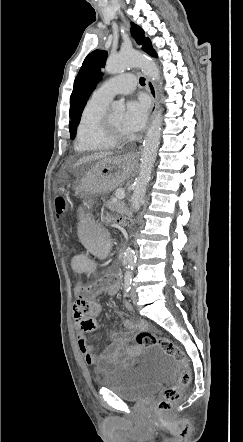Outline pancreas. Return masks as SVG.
<instances>
[{
    "mask_svg": "<svg viewBox=\"0 0 243 442\" xmlns=\"http://www.w3.org/2000/svg\"><path fill=\"white\" fill-rule=\"evenodd\" d=\"M123 202L120 200L115 199L114 201L106 204V206L112 211V212H122L123 211Z\"/></svg>",
    "mask_w": 243,
    "mask_h": 442,
    "instance_id": "1",
    "label": "pancreas"
}]
</instances>
